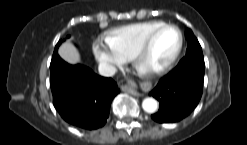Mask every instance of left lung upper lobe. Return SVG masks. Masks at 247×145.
I'll use <instances>...</instances> for the list:
<instances>
[{
	"instance_id": "obj_1",
	"label": "left lung upper lobe",
	"mask_w": 247,
	"mask_h": 145,
	"mask_svg": "<svg viewBox=\"0 0 247 145\" xmlns=\"http://www.w3.org/2000/svg\"><path fill=\"white\" fill-rule=\"evenodd\" d=\"M185 37L188 41L186 54L202 53L201 46L192 31L187 29L185 32Z\"/></svg>"
}]
</instances>
